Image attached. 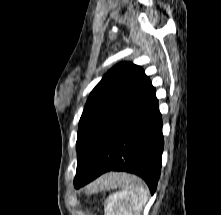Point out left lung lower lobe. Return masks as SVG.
<instances>
[{
    "mask_svg": "<svg viewBox=\"0 0 221 215\" xmlns=\"http://www.w3.org/2000/svg\"><path fill=\"white\" fill-rule=\"evenodd\" d=\"M162 117L151 81L113 122L91 168L76 188L108 171L136 174L155 192L163 152Z\"/></svg>",
    "mask_w": 221,
    "mask_h": 215,
    "instance_id": "0a47b994",
    "label": "left lung lower lobe"
}]
</instances>
